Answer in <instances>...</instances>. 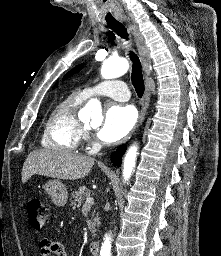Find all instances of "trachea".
<instances>
[{
  "mask_svg": "<svg viewBox=\"0 0 221 256\" xmlns=\"http://www.w3.org/2000/svg\"><path fill=\"white\" fill-rule=\"evenodd\" d=\"M109 28L115 31L121 38L128 40L127 29L118 21L108 22ZM130 59L132 61V74L131 80L132 84L136 90V93L139 98L143 96L144 93V80L141 70V64L138 56L134 52L129 53Z\"/></svg>",
  "mask_w": 221,
  "mask_h": 256,
  "instance_id": "obj_1",
  "label": "trachea"
}]
</instances>
